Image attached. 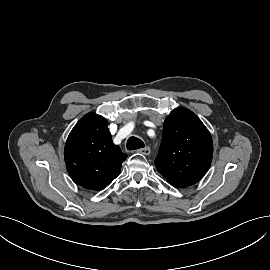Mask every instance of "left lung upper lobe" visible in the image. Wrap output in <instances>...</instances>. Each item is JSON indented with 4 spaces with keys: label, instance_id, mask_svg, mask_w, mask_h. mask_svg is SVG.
<instances>
[{
    "label": "left lung upper lobe",
    "instance_id": "5c2ea615",
    "mask_svg": "<svg viewBox=\"0 0 270 270\" xmlns=\"http://www.w3.org/2000/svg\"><path fill=\"white\" fill-rule=\"evenodd\" d=\"M155 165L178 188L198 182L207 172L213 155L211 135L201 120L186 108H176L166 118Z\"/></svg>",
    "mask_w": 270,
    "mask_h": 270
}]
</instances>
